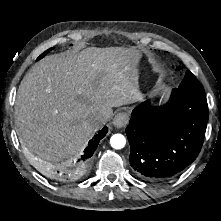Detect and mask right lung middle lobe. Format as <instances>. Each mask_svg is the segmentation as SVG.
<instances>
[{"label": "right lung middle lobe", "mask_w": 221, "mask_h": 221, "mask_svg": "<svg viewBox=\"0 0 221 221\" xmlns=\"http://www.w3.org/2000/svg\"><path fill=\"white\" fill-rule=\"evenodd\" d=\"M52 49H53V48H50V49L46 50L43 54H41V55L38 57L37 60L43 58V57H44L49 51H51Z\"/></svg>", "instance_id": "right-lung-middle-lobe-1"}]
</instances>
